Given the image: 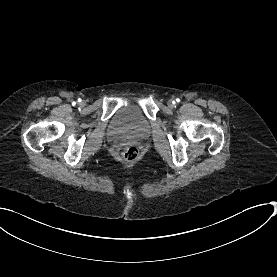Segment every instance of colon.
I'll use <instances>...</instances> for the list:
<instances>
[{"mask_svg":"<svg viewBox=\"0 0 277 277\" xmlns=\"http://www.w3.org/2000/svg\"><path fill=\"white\" fill-rule=\"evenodd\" d=\"M139 154L140 151L136 145H127L121 155L122 162L128 166L134 165L139 161Z\"/></svg>","mask_w":277,"mask_h":277,"instance_id":"5ec220e1","label":"colon"}]
</instances>
